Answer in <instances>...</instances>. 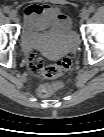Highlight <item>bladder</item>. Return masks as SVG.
<instances>
[{
  "mask_svg": "<svg viewBox=\"0 0 104 137\" xmlns=\"http://www.w3.org/2000/svg\"><path fill=\"white\" fill-rule=\"evenodd\" d=\"M32 43L43 56L49 59H59L74 51L79 45V39L71 34L68 25L55 20L35 34Z\"/></svg>",
  "mask_w": 104,
  "mask_h": 137,
  "instance_id": "1",
  "label": "bladder"
}]
</instances>
